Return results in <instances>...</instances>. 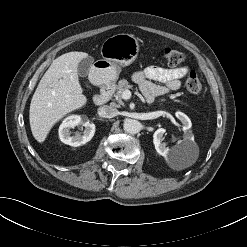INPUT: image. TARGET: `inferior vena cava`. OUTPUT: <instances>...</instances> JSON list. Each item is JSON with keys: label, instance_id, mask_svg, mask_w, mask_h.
I'll return each mask as SVG.
<instances>
[{"label": "inferior vena cava", "instance_id": "inferior-vena-cava-1", "mask_svg": "<svg viewBox=\"0 0 247 247\" xmlns=\"http://www.w3.org/2000/svg\"><path fill=\"white\" fill-rule=\"evenodd\" d=\"M98 113L101 117L113 118L117 116L118 110L112 106L104 105V106L99 107Z\"/></svg>", "mask_w": 247, "mask_h": 247}]
</instances>
